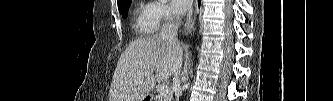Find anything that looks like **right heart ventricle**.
<instances>
[{"label":"right heart ventricle","mask_w":333,"mask_h":101,"mask_svg":"<svg viewBox=\"0 0 333 101\" xmlns=\"http://www.w3.org/2000/svg\"><path fill=\"white\" fill-rule=\"evenodd\" d=\"M158 22L153 14V5L141 6L134 18L135 31L142 36H149L156 31Z\"/></svg>","instance_id":"1"}]
</instances>
